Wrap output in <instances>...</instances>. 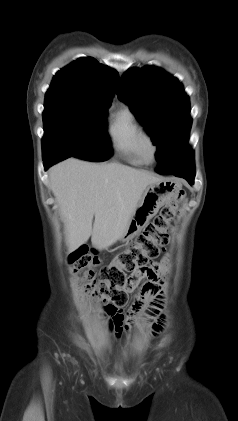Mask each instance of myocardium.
Returning a JSON list of instances; mask_svg holds the SVG:
<instances>
[{"mask_svg": "<svg viewBox=\"0 0 238 421\" xmlns=\"http://www.w3.org/2000/svg\"><path fill=\"white\" fill-rule=\"evenodd\" d=\"M140 147L142 153L148 162L153 161L156 157L158 148L153 137L146 132H143L140 139Z\"/></svg>", "mask_w": 238, "mask_h": 421, "instance_id": "f54148a6", "label": "myocardium"}]
</instances>
